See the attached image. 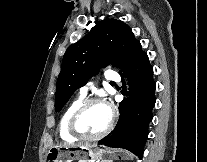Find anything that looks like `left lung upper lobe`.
Instances as JSON below:
<instances>
[{
  "label": "left lung upper lobe",
  "mask_w": 207,
  "mask_h": 162,
  "mask_svg": "<svg viewBox=\"0 0 207 162\" xmlns=\"http://www.w3.org/2000/svg\"><path fill=\"white\" fill-rule=\"evenodd\" d=\"M141 53L140 42L124 22L116 19L96 22L92 30L71 45L63 57L57 80L56 112L100 67L112 63L126 70Z\"/></svg>",
  "instance_id": "obj_1"
}]
</instances>
